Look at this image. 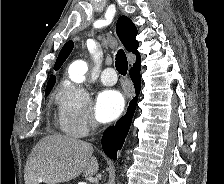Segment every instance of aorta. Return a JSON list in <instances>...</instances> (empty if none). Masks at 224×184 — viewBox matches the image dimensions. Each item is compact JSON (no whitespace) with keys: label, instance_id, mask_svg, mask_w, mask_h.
<instances>
[{"label":"aorta","instance_id":"aorta-1","mask_svg":"<svg viewBox=\"0 0 224 184\" xmlns=\"http://www.w3.org/2000/svg\"><path fill=\"white\" fill-rule=\"evenodd\" d=\"M87 69L88 67L86 62L75 61L69 67V78L76 83H81L85 79L84 74L86 73Z\"/></svg>","mask_w":224,"mask_h":184}]
</instances>
